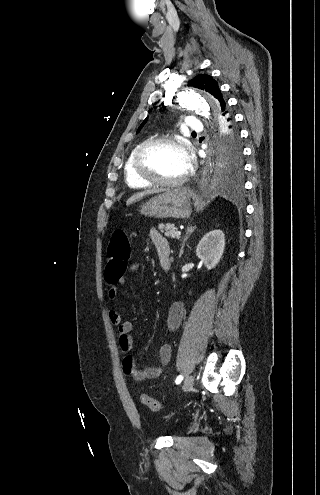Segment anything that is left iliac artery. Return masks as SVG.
Returning a JSON list of instances; mask_svg holds the SVG:
<instances>
[{"label": "left iliac artery", "mask_w": 320, "mask_h": 495, "mask_svg": "<svg viewBox=\"0 0 320 495\" xmlns=\"http://www.w3.org/2000/svg\"><path fill=\"white\" fill-rule=\"evenodd\" d=\"M182 378H183V377H182L181 375H180V376H178V377L176 378V380H175V383H176V384H179V383L181 382Z\"/></svg>", "instance_id": "left-iliac-artery-1"}]
</instances>
